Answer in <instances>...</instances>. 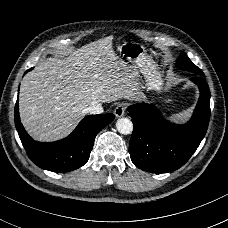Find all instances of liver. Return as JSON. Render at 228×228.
<instances>
[{
	"mask_svg": "<svg viewBox=\"0 0 228 228\" xmlns=\"http://www.w3.org/2000/svg\"><path fill=\"white\" fill-rule=\"evenodd\" d=\"M113 40L105 37L66 59L41 61L23 79L20 113L30 134L55 139L70 132L93 103L137 99L139 70L117 55Z\"/></svg>",
	"mask_w": 228,
	"mask_h": 228,
	"instance_id": "1",
	"label": "liver"
}]
</instances>
